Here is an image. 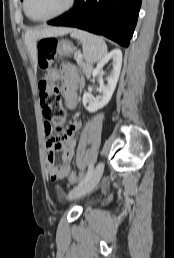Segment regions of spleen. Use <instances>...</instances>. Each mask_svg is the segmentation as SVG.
<instances>
[{
  "instance_id": "1",
  "label": "spleen",
  "mask_w": 174,
  "mask_h": 258,
  "mask_svg": "<svg viewBox=\"0 0 174 258\" xmlns=\"http://www.w3.org/2000/svg\"><path fill=\"white\" fill-rule=\"evenodd\" d=\"M70 35L82 42L84 58L88 63L97 62L107 54V45L102 37L79 29H71Z\"/></svg>"
}]
</instances>
